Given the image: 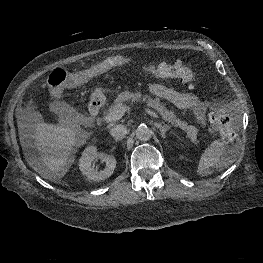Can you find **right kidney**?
Masks as SVG:
<instances>
[{
	"mask_svg": "<svg viewBox=\"0 0 263 263\" xmlns=\"http://www.w3.org/2000/svg\"><path fill=\"white\" fill-rule=\"evenodd\" d=\"M100 159L106 163L105 169L97 171L93 168V161ZM116 167V159L114 156L99 153L95 146L87 147L79 160V169L82 174L85 175L89 180L100 181L109 178Z\"/></svg>",
	"mask_w": 263,
	"mask_h": 263,
	"instance_id": "obj_1",
	"label": "right kidney"
}]
</instances>
